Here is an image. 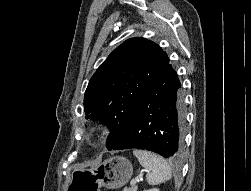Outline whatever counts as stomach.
<instances>
[{
    "instance_id": "obj_1",
    "label": "stomach",
    "mask_w": 251,
    "mask_h": 191,
    "mask_svg": "<svg viewBox=\"0 0 251 191\" xmlns=\"http://www.w3.org/2000/svg\"><path fill=\"white\" fill-rule=\"evenodd\" d=\"M133 173L131 161L122 155L104 159L97 167L74 169L68 191H100V187L116 189L129 181Z\"/></svg>"
}]
</instances>
